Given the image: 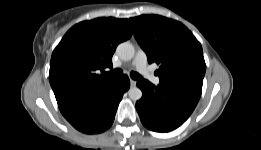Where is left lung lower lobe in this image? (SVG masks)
I'll return each instance as SVG.
<instances>
[{
  "label": "left lung lower lobe",
  "mask_w": 261,
  "mask_h": 150,
  "mask_svg": "<svg viewBox=\"0 0 261 150\" xmlns=\"http://www.w3.org/2000/svg\"><path fill=\"white\" fill-rule=\"evenodd\" d=\"M137 86L143 93L136 102L141 122L156 132H168L182 125L196 107L202 91L181 83H159L155 87L147 80L138 81Z\"/></svg>",
  "instance_id": "left-lung-lower-lobe-1"
}]
</instances>
